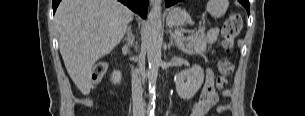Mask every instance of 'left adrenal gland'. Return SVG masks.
<instances>
[{"mask_svg": "<svg viewBox=\"0 0 305 116\" xmlns=\"http://www.w3.org/2000/svg\"><path fill=\"white\" fill-rule=\"evenodd\" d=\"M174 45L177 46L178 48H181L180 46H178L177 44L174 43L173 37L171 36V37H170V42H169V44H168V48L170 49V47H171V46H174ZM181 49H182V48H181Z\"/></svg>", "mask_w": 305, "mask_h": 116, "instance_id": "left-adrenal-gland-1", "label": "left adrenal gland"}]
</instances>
